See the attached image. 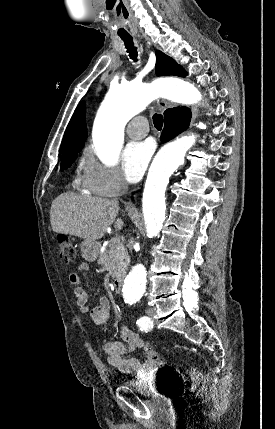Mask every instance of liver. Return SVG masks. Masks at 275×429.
Masks as SVG:
<instances>
[{
    "label": "liver",
    "instance_id": "liver-1",
    "mask_svg": "<svg viewBox=\"0 0 275 429\" xmlns=\"http://www.w3.org/2000/svg\"><path fill=\"white\" fill-rule=\"evenodd\" d=\"M119 212L117 200L93 198L66 192L56 197L50 209L52 230L87 240L101 239ZM121 218L115 227L122 229Z\"/></svg>",
    "mask_w": 275,
    "mask_h": 429
}]
</instances>
